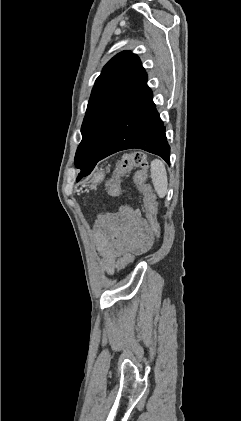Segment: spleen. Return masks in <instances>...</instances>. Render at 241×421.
Returning <instances> with one entry per match:
<instances>
[{"mask_svg": "<svg viewBox=\"0 0 241 421\" xmlns=\"http://www.w3.org/2000/svg\"><path fill=\"white\" fill-rule=\"evenodd\" d=\"M151 178L154 189L160 198H164L168 190V178L164 163L155 159L151 162Z\"/></svg>", "mask_w": 241, "mask_h": 421, "instance_id": "1", "label": "spleen"}]
</instances>
